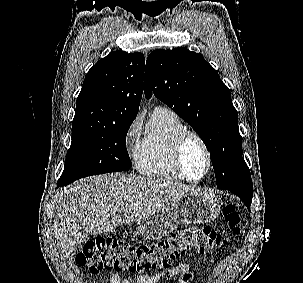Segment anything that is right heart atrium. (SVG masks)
Segmentation results:
<instances>
[{
	"instance_id": "1",
	"label": "right heart atrium",
	"mask_w": 303,
	"mask_h": 283,
	"mask_svg": "<svg viewBox=\"0 0 303 283\" xmlns=\"http://www.w3.org/2000/svg\"><path fill=\"white\" fill-rule=\"evenodd\" d=\"M140 129V120L135 119L128 127L126 134H125V143L130 146L132 145L138 135Z\"/></svg>"
}]
</instances>
